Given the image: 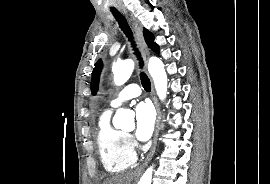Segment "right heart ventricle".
I'll return each instance as SVG.
<instances>
[{
  "instance_id": "right-heart-ventricle-1",
  "label": "right heart ventricle",
  "mask_w": 270,
  "mask_h": 184,
  "mask_svg": "<svg viewBox=\"0 0 270 184\" xmlns=\"http://www.w3.org/2000/svg\"><path fill=\"white\" fill-rule=\"evenodd\" d=\"M110 115V110L100 115L96 139L103 167L118 173L134 164L136 154L126 134L110 124Z\"/></svg>"
}]
</instances>
